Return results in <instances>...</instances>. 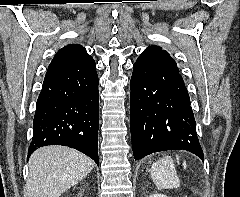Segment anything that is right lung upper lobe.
<instances>
[{
    "instance_id": "1",
    "label": "right lung upper lobe",
    "mask_w": 240,
    "mask_h": 197,
    "mask_svg": "<svg viewBox=\"0 0 240 197\" xmlns=\"http://www.w3.org/2000/svg\"><path fill=\"white\" fill-rule=\"evenodd\" d=\"M95 66L93 58L79 44L61 48L51 61L47 74L79 71Z\"/></svg>"
}]
</instances>
